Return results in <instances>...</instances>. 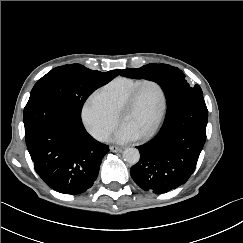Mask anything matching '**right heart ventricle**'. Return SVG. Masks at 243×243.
I'll return each mask as SVG.
<instances>
[{
    "label": "right heart ventricle",
    "mask_w": 243,
    "mask_h": 243,
    "mask_svg": "<svg viewBox=\"0 0 243 243\" xmlns=\"http://www.w3.org/2000/svg\"><path fill=\"white\" fill-rule=\"evenodd\" d=\"M142 80L143 78L118 77L108 82L96 93L106 102L109 109L117 115L131 91Z\"/></svg>",
    "instance_id": "right-heart-ventricle-1"
}]
</instances>
